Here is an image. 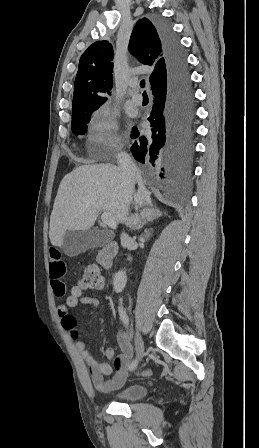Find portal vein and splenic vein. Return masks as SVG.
I'll use <instances>...</instances> for the list:
<instances>
[{
	"label": "portal vein and splenic vein",
	"instance_id": "1",
	"mask_svg": "<svg viewBox=\"0 0 259 448\" xmlns=\"http://www.w3.org/2000/svg\"><path fill=\"white\" fill-rule=\"evenodd\" d=\"M101 222H103V224H107V226H109V228H113V230H115L117 226L116 220H114L112 214H108V212H103V214H101Z\"/></svg>",
	"mask_w": 259,
	"mask_h": 448
}]
</instances>
